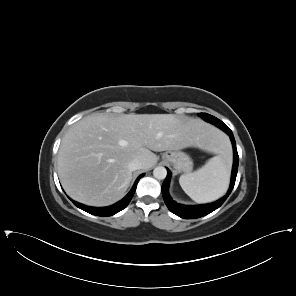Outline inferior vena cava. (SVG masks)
<instances>
[{"label":"inferior vena cava","mask_w":296,"mask_h":296,"mask_svg":"<svg viewBox=\"0 0 296 296\" xmlns=\"http://www.w3.org/2000/svg\"><path fill=\"white\" fill-rule=\"evenodd\" d=\"M142 162L139 159H134L131 162H129L128 167L130 169V171H135L138 169H142Z\"/></svg>","instance_id":"602c4592"}]
</instances>
